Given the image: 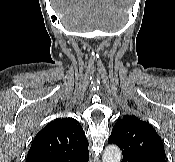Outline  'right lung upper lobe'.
<instances>
[{
  "instance_id": "cb5924a9",
  "label": "right lung upper lobe",
  "mask_w": 175,
  "mask_h": 162,
  "mask_svg": "<svg viewBox=\"0 0 175 162\" xmlns=\"http://www.w3.org/2000/svg\"><path fill=\"white\" fill-rule=\"evenodd\" d=\"M88 156V141L78 121L58 118L35 136L26 162H84Z\"/></svg>"
}]
</instances>
